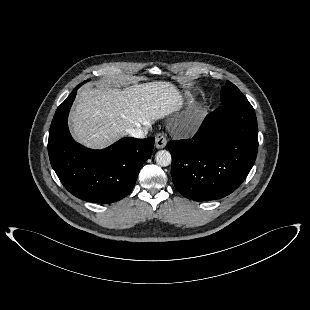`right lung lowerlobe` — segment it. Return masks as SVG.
I'll use <instances>...</instances> for the list:
<instances>
[{"label": "right lung lower lobe", "mask_w": 310, "mask_h": 310, "mask_svg": "<svg viewBox=\"0 0 310 310\" xmlns=\"http://www.w3.org/2000/svg\"><path fill=\"white\" fill-rule=\"evenodd\" d=\"M79 84L58 107L49 131L51 165L74 196L94 203H112L133 189L139 171L150 157L154 138H123L103 150L88 149L73 140L67 126Z\"/></svg>", "instance_id": "1"}]
</instances>
